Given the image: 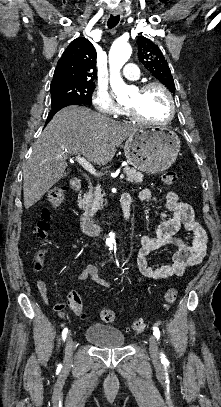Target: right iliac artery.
I'll return each mask as SVG.
<instances>
[{"label": "right iliac artery", "mask_w": 221, "mask_h": 407, "mask_svg": "<svg viewBox=\"0 0 221 407\" xmlns=\"http://www.w3.org/2000/svg\"><path fill=\"white\" fill-rule=\"evenodd\" d=\"M67 333H68V329H67V328H65V329L63 330V332H62V337H63V340H65V339H66Z\"/></svg>", "instance_id": "82829eb1"}]
</instances>
